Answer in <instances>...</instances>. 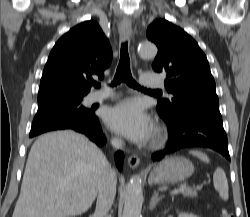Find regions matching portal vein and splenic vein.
Returning a JSON list of instances; mask_svg holds the SVG:
<instances>
[{
  "label": "portal vein and splenic vein",
  "mask_w": 250,
  "mask_h": 217,
  "mask_svg": "<svg viewBox=\"0 0 250 217\" xmlns=\"http://www.w3.org/2000/svg\"><path fill=\"white\" fill-rule=\"evenodd\" d=\"M187 189H189L188 186L186 184H182L178 189L171 191V194H177V193L184 191V190H187Z\"/></svg>",
  "instance_id": "portal-vein-and-splenic-vein-1"
}]
</instances>
